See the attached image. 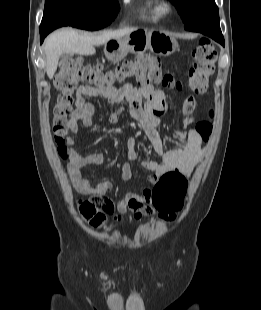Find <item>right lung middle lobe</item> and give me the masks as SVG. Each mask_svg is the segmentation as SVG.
<instances>
[{
    "label": "right lung middle lobe",
    "instance_id": "right-lung-middle-lobe-1",
    "mask_svg": "<svg viewBox=\"0 0 261 310\" xmlns=\"http://www.w3.org/2000/svg\"><path fill=\"white\" fill-rule=\"evenodd\" d=\"M118 10L117 0H46L40 29L69 25L98 30L109 25Z\"/></svg>",
    "mask_w": 261,
    "mask_h": 310
}]
</instances>
